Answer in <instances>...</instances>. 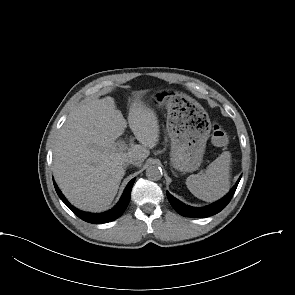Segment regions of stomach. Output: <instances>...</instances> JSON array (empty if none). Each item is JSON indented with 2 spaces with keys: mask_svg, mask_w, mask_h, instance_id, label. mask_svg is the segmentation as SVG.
Listing matches in <instances>:
<instances>
[{
  "mask_svg": "<svg viewBox=\"0 0 295 295\" xmlns=\"http://www.w3.org/2000/svg\"><path fill=\"white\" fill-rule=\"evenodd\" d=\"M152 98L156 106H165L167 109L171 165L181 172L197 170L202 163L211 131L207 112L195 99L182 92L163 89Z\"/></svg>",
  "mask_w": 295,
  "mask_h": 295,
  "instance_id": "0dacf381",
  "label": "stomach"
}]
</instances>
